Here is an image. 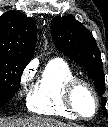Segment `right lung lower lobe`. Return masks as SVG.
Masks as SVG:
<instances>
[{
	"label": "right lung lower lobe",
	"mask_w": 108,
	"mask_h": 127,
	"mask_svg": "<svg viewBox=\"0 0 108 127\" xmlns=\"http://www.w3.org/2000/svg\"><path fill=\"white\" fill-rule=\"evenodd\" d=\"M7 102H0V107H2L4 104H6Z\"/></svg>",
	"instance_id": "right-lung-lower-lobe-1"
}]
</instances>
